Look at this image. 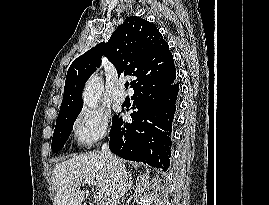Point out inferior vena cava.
Masks as SVG:
<instances>
[{"instance_id":"1","label":"inferior vena cava","mask_w":269,"mask_h":205,"mask_svg":"<svg viewBox=\"0 0 269 205\" xmlns=\"http://www.w3.org/2000/svg\"><path fill=\"white\" fill-rule=\"evenodd\" d=\"M101 151L112 171V181L104 205H117L127 189V172L122 161L111 153L108 143H103Z\"/></svg>"}]
</instances>
